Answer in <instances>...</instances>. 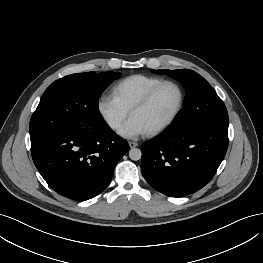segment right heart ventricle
<instances>
[{
    "instance_id": "obj_1",
    "label": "right heart ventricle",
    "mask_w": 263,
    "mask_h": 263,
    "mask_svg": "<svg viewBox=\"0 0 263 263\" xmlns=\"http://www.w3.org/2000/svg\"><path fill=\"white\" fill-rule=\"evenodd\" d=\"M161 77L136 74L118 81L111 89V95L128 111Z\"/></svg>"
}]
</instances>
